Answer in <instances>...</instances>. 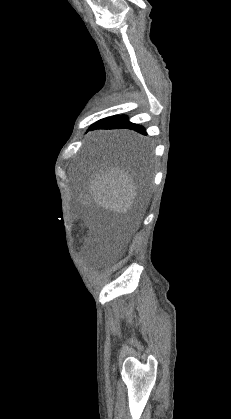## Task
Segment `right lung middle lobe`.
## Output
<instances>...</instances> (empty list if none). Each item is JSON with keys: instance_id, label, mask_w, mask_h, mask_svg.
<instances>
[{"instance_id": "dd1d6c3e", "label": "right lung middle lobe", "mask_w": 231, "mask_h": 419, "mask_svg": "<svg viewBox=\"0 0 231 419\" xmlns=\"http://www.w3.org/2000/svg\"><path fill=\"white\" fill-rule=\"evenodd\" d=\"M128 144L131 148H133V142L132 141H128Z\"/></svg>"}]
</instances>
